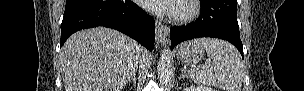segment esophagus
<instances>
[{"mask_svg": "<svg viewBox=\"0 0 304 91\" xmlns=\"http://www.w3.org/2000/svg\"><path fill=\"white\" fill-rule=\"evenodd\" d=\"M155 40L158 44L166 45L168 43L169 28L156 20Z\"/></svg>", "mask_w": 304, "mask_h": 91, "instance_id": "1", "label": "esophagus"}]
</instances>
